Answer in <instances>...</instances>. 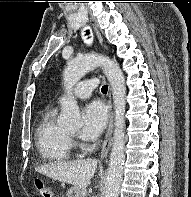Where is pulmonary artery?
<instances>
[{"label":"pulmonary artery","instance_id":"pulmonary-artery-1","mask_svg":"<svg viewBox=\"0 0 191 197\" xmlns=\"http://www.w3.org/2000/svg\"><path fill=\"white\" fill-rule=\"evenodd\" d=\"M95 79H88L80 82L73 90V96L78 99H87L92 95V91L97 87ZM64 97H60L58 102H62Z\"/></svg>","mask_w":191,"mask_h":197}]
</instances>
